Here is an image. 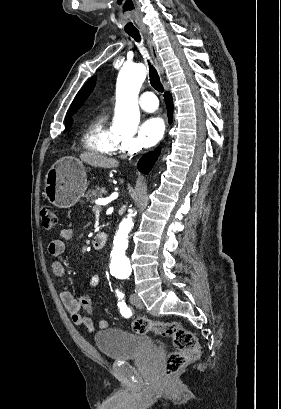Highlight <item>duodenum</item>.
Instances as JSON below:
<instances>
[{"label":"duodenum","instance_id":"obj_1","mask_svg":"<svg viewBox=\"0 0 281 409\" xmlns=\"http://www.w3.org/2000/svg\"><path fill=\"white\" fill-rule=\"evenodd\" d=\"M106 243V237L104 234H97L93 239V246L97 250H101Z\"/></svg>","mask_w":281,"mask_h":409}]
</instances>
